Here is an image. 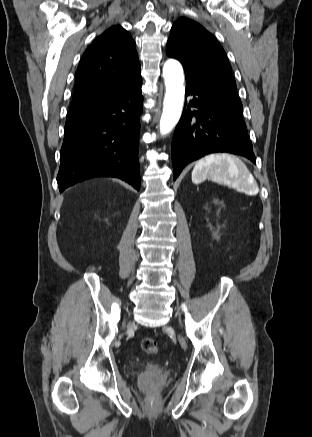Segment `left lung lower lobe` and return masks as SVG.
Masks as SVG:
<instances>
[{
    "mask_svg": "<svg viewBox=\"0 0 312 437\" xmlns=\"http://www.w3.org/2000/svg\"><path fill=\"white\" fill-rule=\"evenodd\" d=\"M186 85V96L194 97L185 104L172 140L174 180L186 164L214 152L241 155L256 164L242 112L190 79Z\"/></svg>",
    "mask_w": 312,
    "mask_h": 437,
    "instance_id": "obj_1",
    "label": "left lung lower lobe"
}]
</instances>
